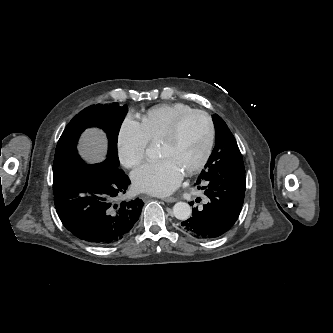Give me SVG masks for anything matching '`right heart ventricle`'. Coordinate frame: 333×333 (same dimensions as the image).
Masks as SVG:
<instances>
[{"instance_id":"e07e8e85","label":"right heart ventricle","mask_w":333,"mask_h":333,"mask_svg":"<svg viewBox=\"0 0 333 333\" xmlns=\"http://www.w3.org/2000/svg\"><path fill=\"white\" fill-rule=\"evenodd\" d=\"M191 110L192 107L183 103L156 106L141 116V124L149 140L157 142L179 116Z\"/></svg>"}]
</instances>
